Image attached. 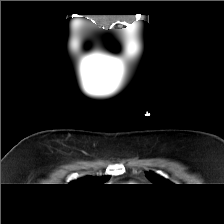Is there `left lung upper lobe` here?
I'll return each instance as SVG.
<instances>
[{
    "mask_svg": "<svg viewBox=\"0 0 224 224\" xmlns=\"http://www.w3.org/2000/svg\"><path fill=\"white\" fill-rule=\"evenodd\" d=\"M147 178L154 184V185H160V184H171L168 180L165 178L153 173V172H145Z\"/></svg>",
    "mask_w": 224,
    "mask_h": 224,
    "instance_id": "5c2ea615",
    "label": "left lung upper lobe"
}]
</instances>
